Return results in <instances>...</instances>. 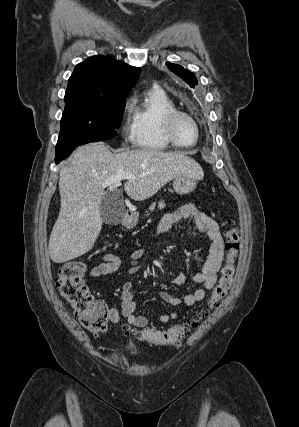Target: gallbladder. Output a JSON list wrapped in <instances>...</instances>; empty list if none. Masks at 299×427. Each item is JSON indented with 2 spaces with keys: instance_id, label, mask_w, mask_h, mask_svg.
Here are the masks:
<instances>
[{
  "instance_id": "bac80fb5",
  "label": "gallbladder",
  "mask_w": 299,
  "mask_h": 427,
  "mask_svg": "<svg viewBox=\"0 0 299 427\" xmlns=\"http://www.w3.org/2000/svg\"><path fill=\"white\" fill-rule=\"evenodd\" d=\"M126 214L122 193L118 190L108 191L100 203V215L108 225L120 224Z\"/></svg>"
}]
</instances>
